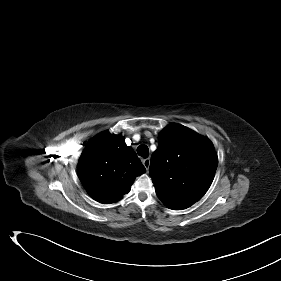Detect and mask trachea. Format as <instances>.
<instances>
[{
    "instance_id": "obj_1",
    "label": "trachea",
    "mask_w": 281,
    "mask_h": 281,
    "mask_svg": "<svg viewBox=\"0 0 281 281\" xmlns=\"http://www.w3.org/2000/svg\"><path fill=\"white\" fill-rule=\"evenodd\" d=\"M137 153L143 158H147L149 155V149L146 145L142 144L137 148Z\"/></svg>"
}]
</instances>
